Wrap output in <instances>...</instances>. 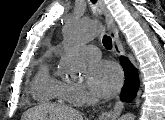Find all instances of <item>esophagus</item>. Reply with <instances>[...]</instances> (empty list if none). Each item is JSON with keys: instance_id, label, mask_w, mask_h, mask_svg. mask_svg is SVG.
I'll return each instance as SVG.
<instances>
[{"instance_id": "esophagus-1", "label": "esophagus", "mask_w": 165, "mask_h": 120, "mask_svg": "<svg viewBox=\"0 0 165 120\" xmlns=\"http://www.w3.org/2000/svg\"><path fill=\"white\" fill-rule=\"evenodd\" d=\"M99 6L101 11L103 12L108 28V32L110 37L112 38V44H113V49L115 53L118 56H123L125 55V52L123 48L120 45L119 39H118V31L114 22V19L108 9L106 8V5L103 0H99ZM124 108V103L120 100L116 102V105L114 108L109 111V112H104L100 115L99 119L100 120H116L119 115L121 114L122 110Z\"/></svg>"}]
</instances>
